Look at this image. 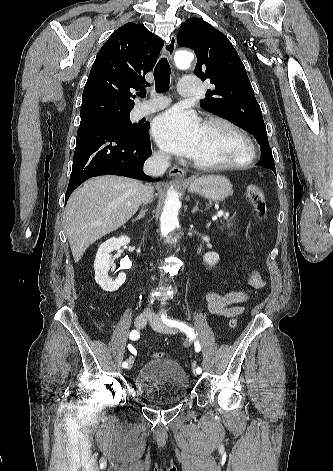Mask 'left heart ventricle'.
Segmentation results:
<instances>
[{"label":"left heart ventricle","mask_w":333,"mask_h":471,"mask_svg":"<svg viewBox=\"0 0 333 471\" xmlns=\"http://www.w3.org/2000/svg\"><path fill=\"white\" fill-rule=\"evenodd\" d=\"M242 153V142L234 132L222 125L202 126L193 159L218 163L237 159Z\"/></svg>","instance_id":"b2bd125f"}]
</instances>
